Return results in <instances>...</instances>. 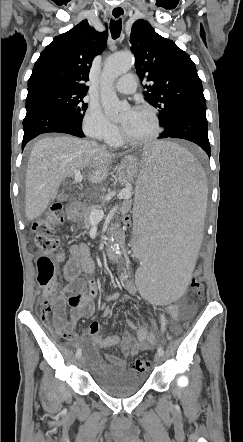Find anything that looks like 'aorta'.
Segmentation results:
<instances>
[{"mask_svg": "<svg viewBox=\"0 0 243 442\" xmlns=\"http://www.w3.org/2000/svg\"><path fill=\"white\" fill-rule=\"evenodd\" d=\"M132 66L133 58L129 53L113 54L106 61L103 72L101 103L106 115L111 118L117 117L129 107L127 102L118 99L111 85L116 78L129 71ZM113 251L117 255H121V250L116 244L113 245Z\"/></svg>", "mask_w": 243, "mask_h": 442, "instance_id": "762f6f07", "label": "aorta"}]
</instances>
